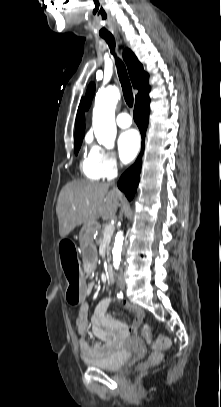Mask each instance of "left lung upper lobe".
<instances>
[{
	"label": "left lung upper lobe",
	"mask_w": 221,
	"mask_h": 407,
	"mask_svg": "<svg viewBox=\"0 0 221 407\" xmlns=\"http://www.w3.org/2000/svg\"><path fill=\"white\" fill-rule=\"evenodd\" d=\"M94 92H95V85H94V83H91L89 85V87L87 89V93H86V109H88L91 104Z\"/></svg>",
	"instance_id": "5c2ea615"
}]
</instances>
